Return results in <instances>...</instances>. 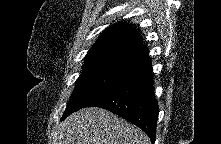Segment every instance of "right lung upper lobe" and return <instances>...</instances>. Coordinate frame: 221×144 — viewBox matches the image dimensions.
<instances>
[{
	"label": "right lung upper lobe",
	"mask_w": 221,
	"mask_h": 144,
	"mask_svg": "<svg viewBox=\"0 0 221 144\" xmlns=\"http://www.w3.org/2000/svg\"><path fill=\"white\" fill-rule=\"evenodd\" d=\"M107 52H122L147 57L149 51L143 46L142 36L127 23H115L105 29L86 57Z\"/></svg>",
	"instance_id": "right-lung-upper-lobe-1"
}]
</instances>
